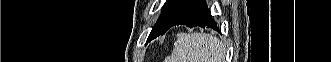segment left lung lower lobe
<instances>
[{
    "label": "left lung lower lobe",
    "mask_w": 331,
    "mask_h": 62,
    "mask_svg": "<svg viewBox=\"0 0 331 62\" xmlns=\"http://www.w3.org/2000/svg\"><path fill=\"white\" fill-rule=\"evenodd\" d=\"M177 25L211 27L214 30H218L217 23L211 17L210 10L204 0H187L168 20L163 29V34L171 27ZM153 38L154 36L151 34L148 37V41Z\"/></svg>",
    "instance_id": "1"
}]
</instances>
